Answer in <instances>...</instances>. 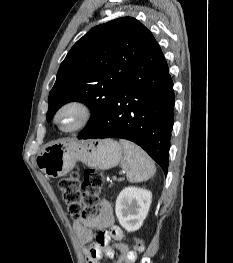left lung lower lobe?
Here are the masks:
<instances>
[{
  "mask_svg": "<svg viewBox=\"0 0 233 263\" xmlns=\"http://www.w3.org/2000/svg\"><path fill=\"white\" fill-rule=\"evenodd\" d=\"M173 123V81L155 40L129 72L99 122L81 138L130 140L142 147L167 174Z\"/></svg>",
  "mask_w": 233,
  "mask_h": 263,
  "instance_id": "left-lung-lower-lobe-1",
  "label": "left lung lower lobe"
}]
</instances>
